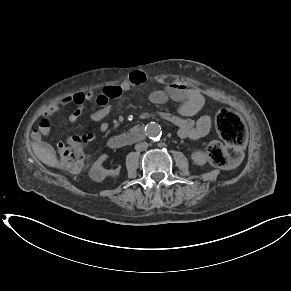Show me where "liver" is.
Instances as JSON below:
<instances>
[{
    "label": "liver",
    "mask_w": 291,
    "mask_h": 291,
    "mask_svg": "<svg viewBox=\"0 0 291 291\" xmlns=\"http://www.w3.org/2000/svg\"><path fill=\"white\" fill-rule=\"evenodd\" d=\"M32 149L36 157L44 164L59 169H62L64 167L63 164L58 161L55 151L51 146H41L33 143Z\"/></svg>",
    "instance_id": "1"
}]
</instances>
